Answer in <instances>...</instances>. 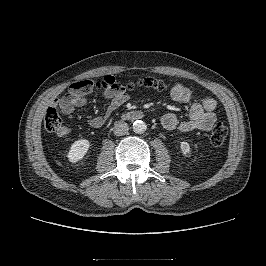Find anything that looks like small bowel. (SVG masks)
<instances>
[{"label":"small bowel","instance_id":"1","mask_svg":"<svg viewBox=\"0 0 266 266\" xmlns=\"http://www.w3.org/2000/svg\"><path fill=\"white\" fill-rule=\"evenodd\" d=\"M172 99L180 103H191L189 108V118L180 121L175 114L167 113L162 117V126L167 130H179L189 132L193 130L209 131L215 124L217 118L215 114L216 100L210 96H199L194 94L183 83H176L170 92ZM104 97L109 99V105L103 116H94L89 119L92 128H102L114 115V113L128 100V95L123 90L110 89L105 91ZM55 104L65 115H71L76 108L84 107L87 104L85 93L73 94L58 98ZM71 134L69 128H63L59 132L60 136Z\"/></svg>","mask_w":266,"mask_h":266}]
</instances>
